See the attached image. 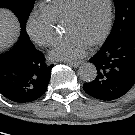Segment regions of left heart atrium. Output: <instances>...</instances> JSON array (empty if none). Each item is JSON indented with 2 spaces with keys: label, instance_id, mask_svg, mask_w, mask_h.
<instances>
[{
  "label": "left heart atrium",
  "instance_id": "left-heart-atrium-1",
  "mask_svg": "<svg viewBox=\"0 0 135 135\" xmlns=\"http://www.w3.org/2000/svg\"><path fill=\"white\" fill-rule=\"evenodd\" d=\"M88 44L75 35H67L56 43L50 52V58L55 60H73L85 55Z\"/></svg>",
  "mask_w": 135,
  "mask_h": 135
}]
</instances>
